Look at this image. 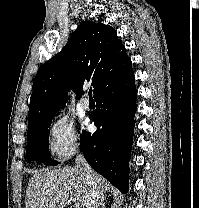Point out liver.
Segmentation results:
<instances>
[{"label":"liver","mask_w":199,"mask_h":208,"mask_svg":"<svg viewBox=\"0 0 199 208\" xmlns=\"http://www.w3.org/2000/svg\"><path fill=\"white\" fill-rule=\"evenodd\" d=\"M102 194L110 191V185L96 174ZM89 184L84 174L76 167L42 169L36 171L28 183L26 208H64L69 197L76 208H85Z\"/></svg>","instance_id":"6515ba94"}]
</instances>
